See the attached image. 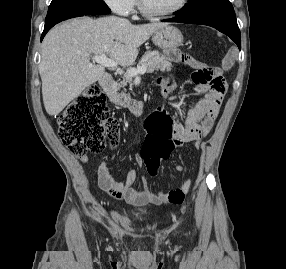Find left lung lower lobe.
<instances>
[{
    "mask_svg": "<svg viewBox=\"0 0 286 269\" xmlns=\"http://www.w3.org/2000/svg\"><path fill=\"white\" fill-rule=\"evenodd\" d=\"M164 22H180L188 24L208 25L216 28L220 32L229 36L241 49L240 30L235 16L228 15H203L193 17H182L180 15L171 19L163 20Z\"/></svg>",
    "mask_w": 286,
    "mask_h": 269,
    "instance_id": "obj_1",
    "label": "left lung lower lobe"
}]
</instances>
